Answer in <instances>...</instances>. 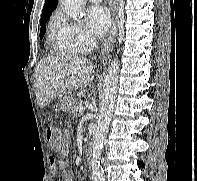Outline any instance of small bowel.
I'll use <instances>...</instances> for the list:
<instances>
[{"label":"small bowel","mask_w":197,"mask_h":181,"mask_svg":"<svg viewBox=\"0 0 197 181\" xmlns=\"http://www.w3.org/2000/svg\"><path fill=\"white\" fill-rule=\"evenodd\" d=\"M68 150V142H66L61 148V156H65ZM61 173V181H74V173L71 169H69L65 163V161L60 158L55 160L52 158V172L56 174L57 172Z\"/></svg>","instance_id":"obj_1"}]
</instances>
